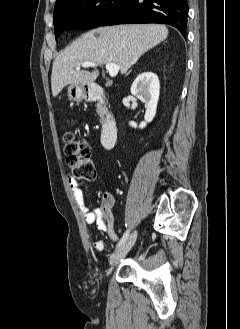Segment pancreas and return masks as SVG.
I'll return each mask as SVG.
<instances>
[{"label": "pancreas", "instance_id": "pancreas-1", "mask_svg": "<svg viewBox=\"0 0 240 329\" xmlns=\"http://www.w3.org/2000/svg\"><path fill=\"white\" fill-rule=\"evenodd\" d=\"M97 112L98 113H101V107H100V105H97Z\"/></svg>", "mask_w": 240, "mask_h": 329}]
</instances>
